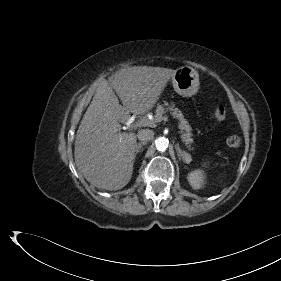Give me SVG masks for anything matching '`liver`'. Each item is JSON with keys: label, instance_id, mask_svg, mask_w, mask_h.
Masks as SVG:
<instances>
[{"label": "liver", "instance_id": "liver-1", "mask_svg": "<svg viewBox=\"0 0 281 281\" xmlns=\"http://www.w3.org/2000/svg\"><path fill=\"white\" fill-rule=\"evenodd\" d=\"M176 70L134 66L102 81L85 112L75 139L78 170L99 189L119 190L133 173L136 134L121 132L120 122L150 111ZM122 101L119 104L118 97Z\"/></svg>", "mask_w": 281, "mask_h": 281}]
</instances>
